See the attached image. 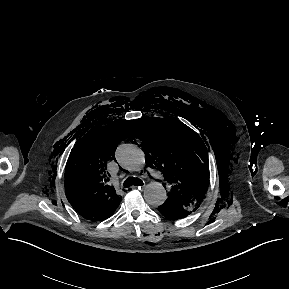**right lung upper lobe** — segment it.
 Listing matches in <instances>:
<instances>
[{"mask_svg":"<svg viewBox=\"0 0 289 289\" xmlns=\"http://www.w3.org/2000/svg\"><path fill=\"white\" fill-rule=\"evenodd\" d=\"M129 121L116 120L94 127L75 145L66 165L65 192L72 207L85 219L109 218L121 196L107 185L106 162L113 158L117 144L127 137Z\"/></svg>","mask_w":289,"mask_h":289,"instance_id":"cb5924a9","label":"right lung upper lobe"}]
</instances>
